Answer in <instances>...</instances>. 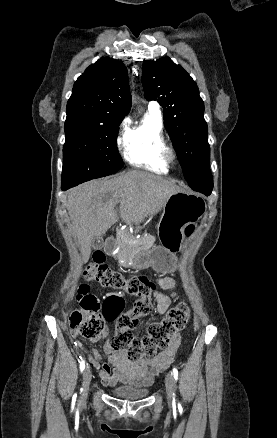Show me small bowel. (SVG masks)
<instances>
[{"label":"small bowel","mask_w":277,"mask_h":438,"mask_svg":"<svg viewBox=\"0 0 277 438\" xmlns=\"http://www.w3.org/2000/svg\"><path fill=\"white\" fill-rule=\"evenodd\" d=\"M157 284L164 290H170L174 287L175 281L171 277H160L157 279ZM175 295V293L165 295L159 291L154 292L156 313L159 315L164 314L170 306L171 297ZM108 334L109 330L105 328L99 336L91 339V342L97 343ZM70 335L76 344H80L79 334L77 332L73 331ZM179 344L180 336L174 335L170 340L168 348L159 356L153 359H141L133 362L128 360L123 352L115 350L111 341L107 339L103 346V353L108 360H105V357H100V361L97 360L95 355L98 353V350L96 348L91 350L93 355L89 357V360L93 362L94 367H101L99 374L105 385L114 386L118 382H123L139 388H145L151 386L155 377L168 367ZM110 365L113 370L110 369Z\"/></svg>","instance_id":"c3829d8e"}]
</instances>
